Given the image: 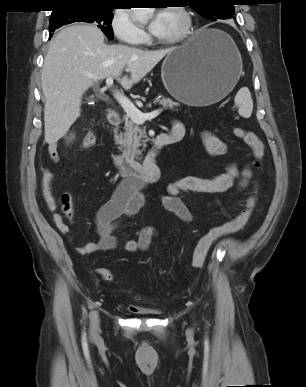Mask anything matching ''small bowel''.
<instances>
[{
  "label": "small bowel",
  "instance_id": "small-bowel-1",
  "mask_svg": "<svg viewBox=\"0 0 306 387\" xmlns=\"http://www.w3.org/2000/svg\"><path fill=\"white\" fill-rule=\"evenodd\" d=\"M170 133L180 134L182 138L185 134V127L181 122L175 121L172 124ZM201 139L210 155L220 156L226 153L227 146L225 142L210 131H203L201 133ZM72 140L73 136L71 134L66 137L67 143H70ZM47 150L54 163H61V158L55 143H50ZM250 177L251 171L248 168L239 169L236 164L232 163L224 173L213 178L189 175L172 182L167 188L166 195L162 196L161 201L166 210L173 213L180 220L190 222L192 213L187 205L179 198L181 192L224 193L232 189L236 183L240 188L246 186ZM54 179L55 174L44 168L41 180L42 195L47 208L52 212L54 224L62 233H66L68 226L64 223L61 215L56 212L57 203L52 195ZM142 190L143 183L129 180L122 182L117 187L113 196L100 206L95 213L94 222L98 240L78 247L77 251L80 254H93L113 250L118 247H122L129 253L146 251L150 247L153 239L157 236V231L153 226L148 225L143 227L137 239L122 241L116 235L119 223L136 214L142 207L144 203V193ZM132 309L138 310L135 306Z\"/></svg>",
  "mask_w": 306,
  "mask_h": 387
}]
</instances>
